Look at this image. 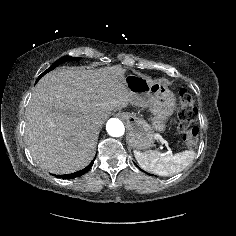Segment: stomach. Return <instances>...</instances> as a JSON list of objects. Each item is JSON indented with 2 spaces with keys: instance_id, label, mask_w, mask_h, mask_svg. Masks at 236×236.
<instances>
[{
  "instance_id": "stomach-1",
  "label": "stomach",
  "mask_w": 236,
  "mask_h": 236,
  "mask_svg": "<svg viewBox=\"0 0 236 236\" xmlns=\"http://www.w3.org/2000/svg\"><path fill=\"white\" fill-rule=\"evenodd\" d=\"M127 89L132 93V104L149 107L151 123L133 113L123 116L129 129V143L137 151L149 149L154 145V132H164L166 123L175 109L172 92L146 77L130 74L124 79Z\"/></svg>"
}]
</instances>
